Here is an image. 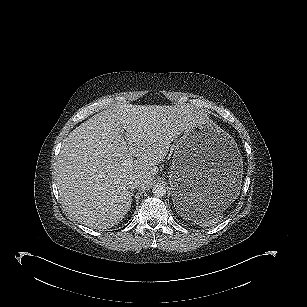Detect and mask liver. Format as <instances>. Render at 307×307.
I'll return each instance as SVG.
<instances>
[{
  "label": "liver",
  "instance_id": "1",
  "mask_svg": "<svg viewBox=\"0 0 307 307\" xmlns=\"http://www.w3.org/2000/svg\"><path fill=\"white\" fill-rule=\"evenodd\" d=\"M205 117L180 106L123 103L95 114L62 143L55 174L63 208L90 228L117 225L131 207L128 182L150 188L173 138Z\"/></svg>",
  "mask_w": 307,
  "mask_h": 307
}]
</instances>
